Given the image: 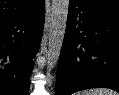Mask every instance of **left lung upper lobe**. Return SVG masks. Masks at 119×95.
<instances>
[{"label":"left lung upper lobe","mask_w":119,"mask_h":95,"mask_svg":"<svg viewBox=\"0 0 119 95\" xmlns=\"http://www.w3.org/2000/svg\"><path fill=\"white\" fill-rule=\"evenodd\" d=\"M96 7L119 13V0H84Z\"/></svg>","instance_id":"left-lung-upper-lobe-1"}]
</instances>
